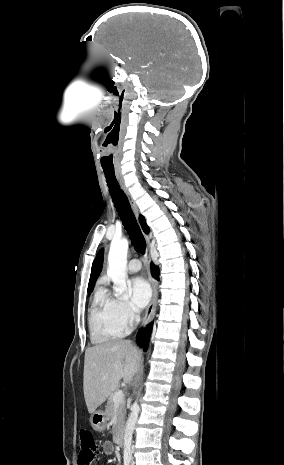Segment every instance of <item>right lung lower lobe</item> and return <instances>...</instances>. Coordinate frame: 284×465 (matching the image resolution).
<instances>
[{
	"label": "right lung lower lobe",
	"mask_w": 284,
	"mask_h": 465,
	"mask_svg": "<svg viewBox=\"0 0 284 465\" xmlns=\"http://www.w3.org/2000/svg\"><path fill=\"white\" fill-rule=\"evenodd\" d=\"M151 269H152L153 276L159 279L158 268L152 264ZM151 330H152V323L149 324L145 329H141L140 332L138 333L137 343L140 347L144 348V351L147 350Z\"/></svg>",
	"instance_id": "98d812e1"
}]
</instances>
